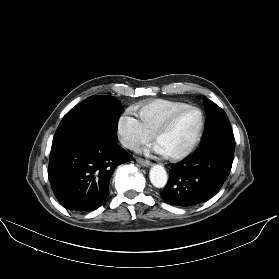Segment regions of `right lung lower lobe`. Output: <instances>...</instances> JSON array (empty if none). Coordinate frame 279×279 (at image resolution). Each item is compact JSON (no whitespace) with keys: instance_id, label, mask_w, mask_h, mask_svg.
Listing matches in <instances>:
<instances>
[{"instance_id":"1","label":"right lung lower lobe","mask_w":279,"mask_h":279,"mask_svg":"<svg viewBox=\"0 0 279 279\" xmlns=\"http://www.w3.org/2000/svg\"><path fill=\"white\" fill-rule=\"evenodd\" d=\"M132 159L117 145V132L104 130L70 144L52 146L49 181L65 208L92 211L106 198L115 168Z\"/></svg>"}]
</instances>
